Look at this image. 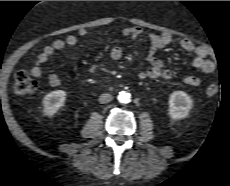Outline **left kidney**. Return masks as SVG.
I'll list each match as a JSON object with an SVG mask.
<instances>
[{
	"label": "left kidney",
	"mask_w": 230,
	"mask_h": 186,
	"mask_svg": "<svg viewBox=\"0 0 230 186\" xmlns=\"http://www.w3.org/2000/svg\"><path fill=\"white\" fill-rule=\"evenodd\" d=\"M193 107V100L183 91H175L169 97V115L173 119L188 116Z\"/></svg>",
	"instance_id": "5707ae66"
}]
</instances>
